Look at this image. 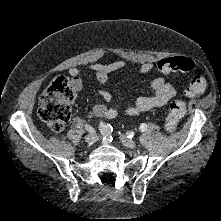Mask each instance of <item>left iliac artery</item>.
<instances>
[{
  "label": "left iliac artery",
  "instance_id": "left-iliac-artery-1",
  "mask_svg": "<svg viewBox=\"0 0 221 221\" xmlns=\"http://www.w3.org/2000/svg\"><path fill=\"white\" fill-rule=\"evenodd\" d=\"M139 129L141 132H144L147 129V125L143 123L140 125Z\"/></svg>",
  "mask_w": 221,
  "mask_h": 221
}]
</instances>
